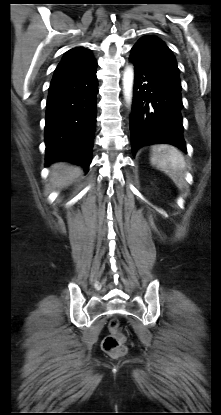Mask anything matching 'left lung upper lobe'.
<instances>
[{"label": "left lung upper lobe", "instance_id": "1", "mask_svg": "<svg viewBox=\"0 0 221 415\" xmlns=\"http://www.w3.org/2000/svg\"><path fill=\"white\" fill-rule=\"evenodd\" d=\"M130 57L181 84L175 56L159 38L154 36L140 38L131 49Z\"/></svg>", "mask_w": 221, "mask_h": 415}]
</instances>
